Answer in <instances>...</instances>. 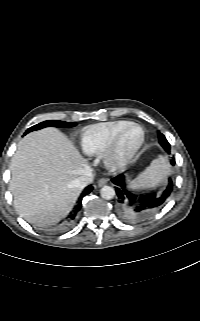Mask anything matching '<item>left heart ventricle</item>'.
Listing matches in <instances>:
<instances>
[{
  "label": "left heart ventricle",
  "instance_id": "left-heart-ventricle-1",
  "mask_svg": "<svg viewBox=\"0 0 200 321\" xmlns=\"http://www.w3.org/2000/svg\"><path fill=\"white\" fill-rule=\"evenodd\" d=\"M141 135L142 132L140 128H130L122 139L120 151L123 153L133 148L139 142Z\"/></svg>",
  "mask_w": 200,
  "mask_h": 321
}]
</instances>
